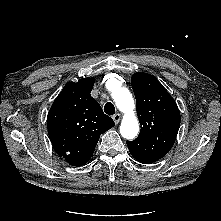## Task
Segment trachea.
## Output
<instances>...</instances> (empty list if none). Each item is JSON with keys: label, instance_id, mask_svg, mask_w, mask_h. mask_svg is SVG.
I'll return each instance as SVG.
<instances>
[{"label": "trachea", "instance_id": "obj_1", "mask_svg": "<svg viewBox=\"0 0 221 221\" xmlns=\"http://www.w3.org/2000/svg\"><path fill=\"white\" fill-rule=\"evenodd\" d=\"M104 112L108 115L115 114V107L111 102H107L104 106Z\"/></svg>", "mask_w": 221, "mask_h": 221}]
</instances>
